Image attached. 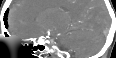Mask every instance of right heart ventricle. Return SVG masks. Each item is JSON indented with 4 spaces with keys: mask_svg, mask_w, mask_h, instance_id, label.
I'll list each match as a JSON object with an SVG mask.
<instances>
[{
    "mask_svg": "<svg viewBox=\"0 0 116 58\" xmlns=\"http://www.w3.org/2000/svg\"><path fill=\"white\" fill-rule=\"evenodd\" d=\"M26 7H29V6H33L32 4H29V3H27V5H25Z\"/></svg>",
    "mask_w": 116,
    "mask_h": 58,
    "instance_id": "1",
    "label": "right heart ventricle"
}]
</instances>
